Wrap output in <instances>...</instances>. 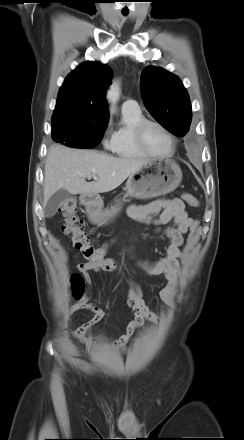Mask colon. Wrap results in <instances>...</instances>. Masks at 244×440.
Here are the masks:
<instances>
[{
  "instance_id": "1",
  "label": "colon",
  "mask_w": 244,
  "mask_h": 440,
  "mask_svg": "<svg viewBox=\"0 0 244 440\" xmlns=\"http://www.w3.org/2000/svg\"><path fill=\"white\" fill-rule=\"evenodd\" d=\"M184 201L191 207H198V199L191 194L183 195ZM77 202L74 198H69L63 201L57 209V213L63 220L62 229L68 236L71 237L74 247L81 252V254L94 267L100 270L108 271L117 266L116 261L107 258L108 244L99 248H95L90 236L85 230V225L82 219L78 218L76 213ZM198 226V222H194L191 226V232L194 233ZM72 286L76 297L82 295L84 289L83 279L80 275H75L72 279Z\"/></svg>"
}]
</instances>
